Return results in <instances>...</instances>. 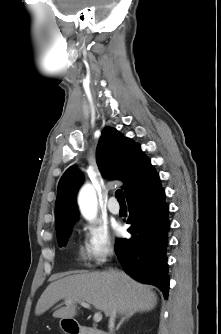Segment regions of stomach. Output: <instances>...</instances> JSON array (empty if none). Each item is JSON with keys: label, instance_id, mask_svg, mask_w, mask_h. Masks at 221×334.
Instances as JSON below:
<instances>
[{"label": "stomach", "instance_id": "obj_1", "mask_svg": "<svg viewBox=\"0 0 221 334\" xmlns=\"http://www.w3.org/2000/svg\"><path fill=\"white\" fill-rule=\"evenodd\" d=\"M68 320H71V319H61L59 322L61 329L65 331L67 334H69L67 332L68 325H71V326H73L74 324L77 325L75 321H68Z\"/></svg>", "mask_w": 221, "mask_h": 334}]
</instances>
